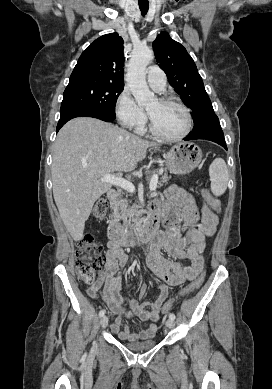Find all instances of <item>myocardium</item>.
Here are the masks:
<instances>
[{
  "mask_svg": "<svg viewBox=\"0 0 272 389\" xmlns=\"http://www.w3.org/2000/svg\"><path fill=\"white\" fill-rule=\"evenodd\" d=\"M158 101L161 104H174V105L180 107L183 110V112L185 113V115H186L187 124H186L185 129L180 134L175 135V136L165 135V134L161 133L156 128L151 115L148 113L149 128H150L151 133L155 137H157V138H159L161 140L170 141V142L179 141V140H182L185 137H187L190 134V132L192 130V127H193V117H192L190 109L182 101H180V100H178L176 98H173V97H167V96L160 97L158 99Z\"/></svg>",
  "mask_w": 272,
  "mask_h": 389,
  "instance_id": "1",
  "label": "myocardium"
}]
</instances>
